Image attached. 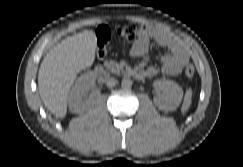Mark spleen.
I'll return each instance as SVG.
<instances>
[{
	"instance_id": "1",
	"label": "spleen",
	"mask_w": 243,
	"mask_h": 167,
	"mask_svg": "<svg viewBox=\"0 0 243 167\" xmlns=\"http://www.w3.org/2000/svg\"><path fill=\"white\" fill-rule=\"evenodd\" d=\"M191 102H192V90L188 89L186 91V94H185V97H184V101H183V105H182V108H181V112L182 113H186L187 112V110L189 109V107L191 105Z\"/></svg>"
}]
</instances>
